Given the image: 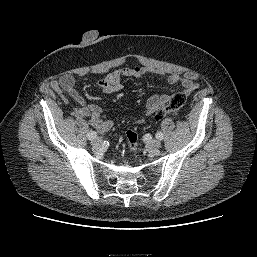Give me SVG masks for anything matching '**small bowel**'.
Listing matches in <instances>:
<instances>
[{
	"instance_id": "small-bowel-1",
	"label": "small bowel",
	"mask_w": 257,
	"mask_h": 257,
	"mask_svg": "<svg viewBox=\"0 0 257 257\" xmlns=\"http://www.w3.org/2000/svg\"><path fill=\"white\" fill-rule=\"evenodd\" d=\"M147 74H156L166 77L169 84L181 85L186 94H190L198 86L193 73L179 75L177 73H168L150 67L139 66L116 69L100 79L98 86L106 94L117 93L123 88L121 83L122 78H140ZM52 88L59 93H66L78 104V107L74 111L76 117H88L90 125L100 133L108 132L112 128L113 121L104 115L103 109L100 106L85 103L84 99L75 89V78L73 75L66 74L61 76L58 81L52 83ZM169 98L170 97L166 94L150 96L146 102L145 115L148 116L156 112L168 102Z\"/></svg>"
}]
</instances>
